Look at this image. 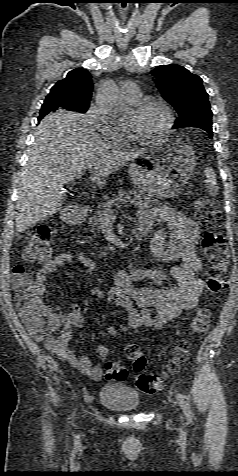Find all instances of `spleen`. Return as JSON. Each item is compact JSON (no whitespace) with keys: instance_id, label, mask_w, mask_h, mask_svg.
I'll list each match as a JSON object with an SVG mask.
<instances>
[{"instance_id":"1","label":"spleen","mask_w":238,"mask_h":476,"mask_svg":"<svg viewBox=\"0 0 238 476\" xmlns=\"http://www.w3.org/2000/svg\"><path fill=\"white\" fill-rule=\"evenodd\" d=\"M204 175L206 176V184L209 189V193L215 195L217 193V181L216 174L212 168H206L204 170Z\"/></svg>"}]
</instances>
